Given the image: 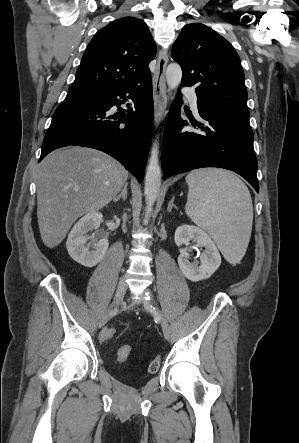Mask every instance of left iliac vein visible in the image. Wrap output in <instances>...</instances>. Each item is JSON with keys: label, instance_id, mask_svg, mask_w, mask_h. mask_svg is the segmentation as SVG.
I'll return each instance as SVG.
<instances>
[{"label": "left iliac vein", "instance_id": "left-iliac-vein-1", "mask_svg": "<svg viewBox=\"0 0 299 443\" xmlns=\"http://www.w3.org/2000/svg\"><path fill=\"white\" fill-rule=\"evenodd\" d=\"M147 294L149 295V297H151V299L146 300L144 306L147 310L155 312L159 315L164 337L168 340L170 338V327L168 325V322L165 316L163 315L162 311L159 309L155 301L152 299V295L149 290H147Z\"/></svg>", "mask_w": 299, "mask_h": 443}]
</instances>
